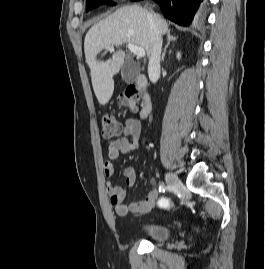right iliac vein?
Returning a JSON list of instances; mask_svg holds the SVG:
<instances>
[{
    "label": "right iliac vein",
    "mask_w": 265,
    "mask_h": 269,
    "mask_svg": "<svg viewBox=\"0 0 265 269\" xmlns=\"http://www.w3.org/2000/svg\"><path fill=\"white\" fill-rule=\"evenodd\" d=\"M165 179H166L167 184L171 188H179L182 185L180 179L175 174H173L171 172H167L165 174Z\"/></svg>",
    "instance_id": "1"
}]
</instances>
